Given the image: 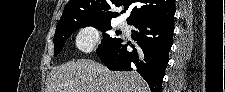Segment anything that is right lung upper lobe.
Returning <instances> with one entry per match:
<instances>
[{"instance_id": "obj_1", "label": "right lung upper lobe", "mask_w": 225, "mask_h": 92, "mask_svg": "<svg viewBox=\"0 0 225 92\" xmlns=\"http://www.w3.org/2000/svg\"><path fill=\"white\" fill-rule=\"evenodd\" d=\"M135 4L127 23L130 25L146 19L168 18L175 13L173 0H70L63 11L56 28L65 27L73 22L85 20L91 22H110L119 14L111 12V5L116 7ZM125 11H122L123 13Z\"/></svg>"}]
</instances>
